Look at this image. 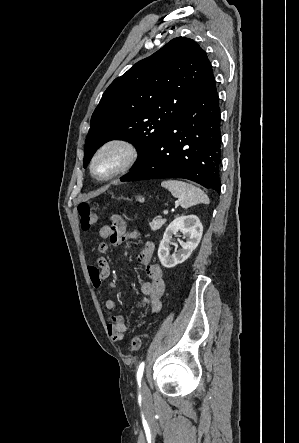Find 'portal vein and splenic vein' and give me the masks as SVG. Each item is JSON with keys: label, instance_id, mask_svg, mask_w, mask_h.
Returning a JSON list of instances; mask_svg holds the SVG:
<instances>
[{"label": "portal vein and splenic vein", "instance_id": "18ae733b", "mask_svg": "<svg viewBox=\"0 0 299 443\" xmlns=\"http://www.w3.org/2000/svg\"><path fill=\"white\" fill-rule=\"evenodd\" d=\"M163 214L167 215L168 214V210H164Z\"/></svg>", "mask_w": 299, "mask_h": 443}]
</instances>
